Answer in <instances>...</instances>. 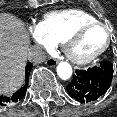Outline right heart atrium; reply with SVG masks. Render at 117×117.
<instances>
[{"mask_svg": "<svg viewBox=\"0 0 117 117\" xmlns=\"http://www.w3.org/2000/svg\"><path fill=\"white\" fill-rule=\"evenodd\" d=\"M31 38L44 49H51L55 46L56 42L49 36L41 23H38L29 28Z\"/></svg>", "mask_w": 117, "mask_h": 117, "instance_id": "1", "label": "right heart atrium"}]
</instances>
